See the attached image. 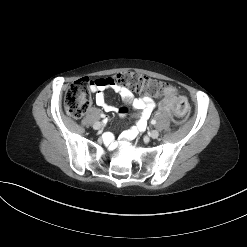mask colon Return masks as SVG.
<instances>
[{"label":"colon","mask_w":247,"mask_h":247,"mask_svg":"<svg viewBox=\"0 0 247 247\" xmlns=\"http://www.w3.org/2000/svg\"><path fill=\"white\" fill-rule=\"evenodd\" d=\"M108 83L130 87L138 93L160 95L164 93L161 107L174 111L179 117L187 112V103L184 97L179 96L173 88L165 82L149 78L145 75L127 72L107 79ZM101 80L82 78L72 83L65 95V109L72 118H80L90 104L89 90ZM124 111V110H123Z\"/></svg>","instance_id":"5ec220e1"}]
</instances>
